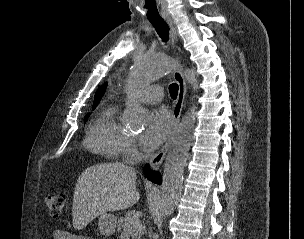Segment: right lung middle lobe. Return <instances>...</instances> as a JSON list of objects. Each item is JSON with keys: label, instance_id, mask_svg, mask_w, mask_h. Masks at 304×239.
Segmentation results:
<instances>
[{"label": "right lung middle lobe", "instance_id": "obj_1", "mask_svg": "<svg viewBox=\"0 0 304 239\" xmlns=\"http://www.w3.org/2000/svg\"><path fill=\"white\" fill-rule=\"evenodd\" d=\"M94 108H95V107H94ZM94 108H93V109H94ZM89 115H90V114L88 113V114L85 116V120H84L85 122H86L87 118L89 117Z\"/></svg>", "mask_w": 304, "mask_h": 239}]
</instances>
